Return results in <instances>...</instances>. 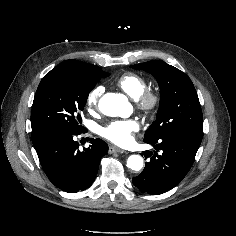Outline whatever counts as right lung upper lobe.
Here are the masks:
<instances>
[{"label":"right lung upper lobe","mask_w":236,"mask_h":236,"mask_svg":"<svg viewBox=\"0 0 236 236\" xmlns=\"http://www.w3.org/2000/svg\"><path fill=\"white\" fill-rule=\"evenodd\" d=\"M59 65L72 67L88 78H97L102 72H104L96 65L87 64L73 59L67 60Z\"/></svg>","instance_id":"obj_1"}]
</instances>
